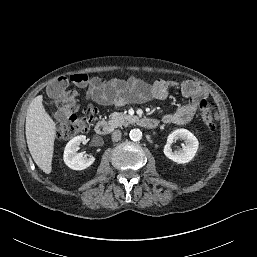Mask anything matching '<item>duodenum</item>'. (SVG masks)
<instances>
[{
    "mask_svg": "<svg viewBox=\"0 0 257 257\" xmlns=\"http://www.w3.org/2000/svg\"><path fill=\"white\" fill-rule=\"evenodd\" d=\"M138 124L146 129H154L158 125V121L153 118L143 117L138 120ZM111 131L112 125L105 120H100L95 126V132L98 135H106Z\"/></svg>",
    "mask_w": 257,
    "mask_h": 257,
    "instance_id": "obj_1",
    "label": "duodenum"
}]
</instances>
